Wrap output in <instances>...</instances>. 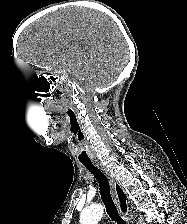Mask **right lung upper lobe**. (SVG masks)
Returning a JSON list of instances; mask_svg holds the SVG:
<instances>
[{"mask_svg": "<svg viewBox=\"0 0 187 224\" xmlns=\"http://www.w3.org/2000/svg\"><path fill=\"white\" fill-rule=\"evenodd\" d=\"M116 189H117L118 197H119V200H120V203H121L122 211H126L127 206H126L125 195L118 185H116Z\"/></svg>", "mask_w": 187, "mask_h": 224, "instance_id": "obj_1", "label": "right lung upper lobe"}]
</instances>
